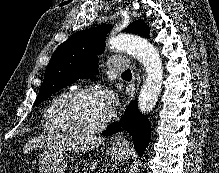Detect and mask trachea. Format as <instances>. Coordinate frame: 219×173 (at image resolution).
Segmentation results:
<instances>
[{
    "label": "trachea",
    "mask_w": 219,
    "mask_h": 173,
    "mask_svg": "<svg viewBox=\"0 0 219 173\" xmlns=\"http://www.w3.org/2000/svg\"><path fill=\"white\" fill-rule=\"evenodd\" d=\"M123 75H131V71L130 70H127L125 72L122 73Z\"/></svg>",
    "instance_id": "obj_1"
}]
</instances>
